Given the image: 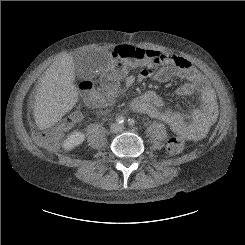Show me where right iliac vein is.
Listing matches in <instances>:
<instances>
[{
	"mask_svg": "<svg viewBox=\"0 0 245 245\" xmlns=\"http://www.w3.org/2000/svg\"><path fill=\"white\" fill-rule=\"evenodd\" d=\"M119 125H117V124H113L111 127H110V130H111V132H113V133H116V132H118L119 131Z\"/></svg>",
	"mask_w": 245,
	"mask_h": 245,
	"instance_id": "1",
	"label": "right iliac vein"
}]
</instances>
